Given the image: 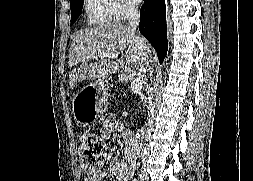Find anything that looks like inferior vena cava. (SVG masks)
Returning <instances> with one entry per match:
<instances>
[{"instance_id": "602c4592", "label": "inferior vena cava", "mask_w": 253, "mask_h": 181, "mask_svg": "<svg viewBox=\"0 0 253 181\" xmlns=\"http://www.w3.org/2000/svg\"><path fill=\"white\" fill-rule=\"evenodd\" d=\"M126 16L128 19V24L129 26L133 29L136 30L139 24V20H140V15L138 12V6L134 3L129 4L126 8ZM140 49L143 51L145 49V45L143 43H140ZM148 70V69H147ZM145 70V72L147 71ZM147 88H148V93H150V84L147 82H145ZM150 98V111H151V119L149 120V125L150 127L147 128L146 133L149 135L148 138H150V135L153 133L154 131V127H155V117H153L154 115V109L155 107L153 106L152 102H151V97Z\"/></svg>"}]
</instances>
